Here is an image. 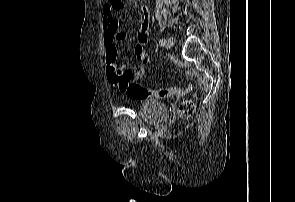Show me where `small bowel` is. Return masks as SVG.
<instances>
[{
    "label": "small bowel",
    "mask_w": 295,
    "mask_h": 202,
    "mask_svg": "<svg viewBox=\"0 0 295 202\" xmlns=\"http://www.w3.org/2000/svg\"><path fill=\"white\" fill-rule=\"evenodd\" d=\"M123 6L115 7L110 0H105L102 7V26L104 30L103 42L106 49L107 76L110 82L118 85L119 72L124 69L131 71L134 78L142 77L145 72L143 66L126 67V62L120 60L118 44L124 40L125 35L119 30V21L115 16L116 11H121ZM149 10L147 7L141 9V23L137 33V45L132 50L135 61L146 64L148 55L144 47L148 42Z\"/></svg>",
    "instance_id": "c3829d8e"
}]
</instances>
